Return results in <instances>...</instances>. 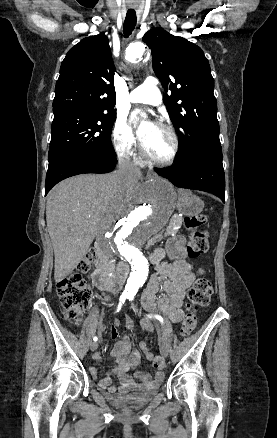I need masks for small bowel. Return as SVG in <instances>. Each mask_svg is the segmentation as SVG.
Returning <instances> with one entry per match:
<instances>
[{
    "mask_svg": "<svg viewBox=\"0 0 277 438\" xmlns=\"http://www.w3.org/2000/svg\"><path fill=\"white\" fill-rule=\"evenodd\" d=\"M164 257L165 251L163 249H158L154 253L152 259L157 264V271L143 292L141 302L148 312L159 310L173 323H178L184 318V297L189 287L195 281V275L191 264L186 260V253L182 246L179 245L177 247V254L172 263L165 262L163 260ZM160 290H163L164 294L159 299H156V295ZM127 323L128 325L125 326L124 331L127 334H131L134 328L131 326L130 319H127ZM118 325L119 321H115V325L110 328L113 337H118ZM142 329L151 332L154 326L151 322L144 321ZM105 331V325H99L98 333L102 334ZM139 347L144 353L145 358L148 361H152L154 356L147 344L141 342ZM111 356L115 361L113 374L120 380L121 390H153L159 386L163 379L162 372H157L155 376L149 372L129 373L130 369L135 368L139 364V353L131 350V340L126 335L115 343ZM96 358H99V356L96 355ZM91 372L95 373L94 370H91ZM98 383L100 387L106 388L110 392L116 390L111 384L110 377L101 379Z\"/></svg>",
    "mask_w": 277,
    "mask_h": 438,
    "instance_id": "small-bowel-1",
    "label": "small bowel"
}]
</instances>
